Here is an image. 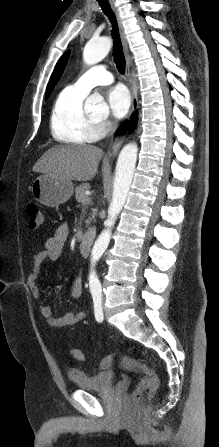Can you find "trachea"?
<instances>
[{
  "label": "trachea",
  "mask_w": 219,
  "mask_h": 447,
  "mask_svg": "<svg viewBox=\"0 0 219 447\" xmlns=\"http://www.w3.org/2000/svg\"><path fill=\"white\" fill-rule=\"evenodd\" d=\"M97 1L99 2L105 15L109 18V20L112 23V37L114 39L113 57L119 73L124 74L126 61L123 53V48L120 40L119 29L115 14L111 9L108 0H97Z\"/></svg>",
  "instance_id": "1"
}]
</instances>
